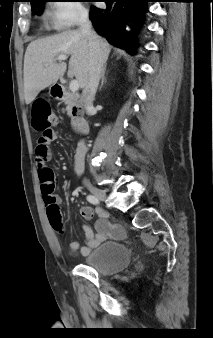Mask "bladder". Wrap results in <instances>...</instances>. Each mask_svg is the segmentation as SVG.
<instances>
[{"label": "bladder", "mask_w": 213, "mask_h": 338, "mask_svg": "<svg viewBox=\"0 0 213 338\" xmlns=\"http://www.w3.org/2000/svg\"><path fill=\"white\" fill-rule=\"evenodd\" d=\"M131 264L126 244L121 242H103L93 249L84 261V265L102 276L119 273Z\"/></svg>", "instance_id": "31cf9c89"}]
</instances>
